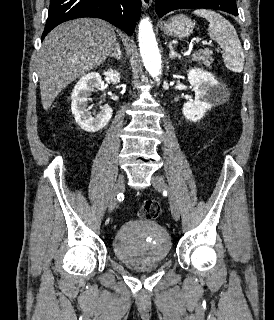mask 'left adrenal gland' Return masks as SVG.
<instances>
[{"label":"left adrenal gland","instance_id":"a2214340","mask_svg":"<svg viewBox=\"0 0 274 320\" xmlns=\"http://www.w3.org/2000/svg\"><path fill=\"white\" fill-rule=\"evenodd\" d=\"M169 46V58H171V60H175V58H178V60H181V56L180 54H177V52H175V50H173V46L172 44H168Z\"/></svg>","mask_w":274,"mask_h":320}]
</instances>
